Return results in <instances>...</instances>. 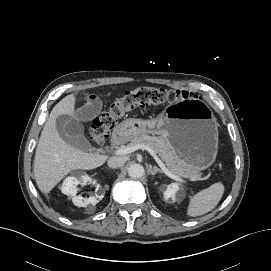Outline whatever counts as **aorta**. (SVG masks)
Returning a JSON list of instances; mask_svg holds the SVG:
<instances>
[{
	"label": "aorta",
	"instance_id": "obj_1",
	"mask_svg": "<svg viewBox=\"0 0 271 271\" xmlns=\"http://www.w3.org/2000/svg\"><path fill=\"white\" fill-rule=\"evenodd\" d=\"M145 173L144 167L141 164H131L128 168V175L131 178H141Z\"/></svg>",
	"mask_w": 271,
	"mask_h": 271
}]
</instances>
